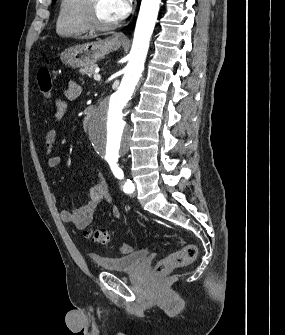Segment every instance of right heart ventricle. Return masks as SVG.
<instances>
[{
	"instance_id": "e07e8e85",
	"label": "right heart ventricle",
	"mask_w": 285,
	"mask_h": 335,
	"mask_svg": "<svg viewBox=\"0 0 285 335\" xmlns=\"http://www.w3.org/2000/svg\"><path fill=\"white\" fill-rule=\"evenodd\" d=\"M87 1H61L56 32L61 38L78 39L88 32Z\"/></svg>"
}]
</instances>
